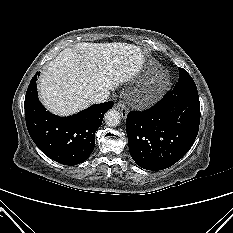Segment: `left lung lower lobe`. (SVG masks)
<instances>
[{"instance_id":"1","label":"left lung lower lobe","mask_w":233,"mask_h":233,"mask_svg":"<svg viewBox=\"0 0 233 233\" xmlns=\"http://www.w3.org/2000/svg\"><path fill=\"white\" fill-rule=\"evenodd\" d=\"M199 123L198 92L170 91L150 109L129 112L126 131L133 160L147 170L172 166L193 145Z\"/></svg>"}]
</instances>
